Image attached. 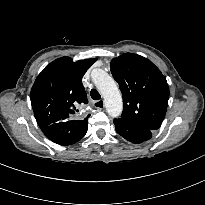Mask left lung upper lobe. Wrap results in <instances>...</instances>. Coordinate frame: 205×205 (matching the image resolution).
Listing matches in <instances>:
<instances>
[{"mask_svg":"<svg viewBox=\"0 0 205 205\" xmlns=\"http://www.w3.org/2000/svg\"><path fill=\"white\" fill-rule=\"evenodd\" d=\"M111 72L123 97L121 118L157 130L165 117L169 87L161 71L147 58L124 53L113 58Z\"/></svg>","mask_w":205,"mask_h":205,"instance_id":"5c2ea615","label":"left lung upper lobe"}]
</instances>
